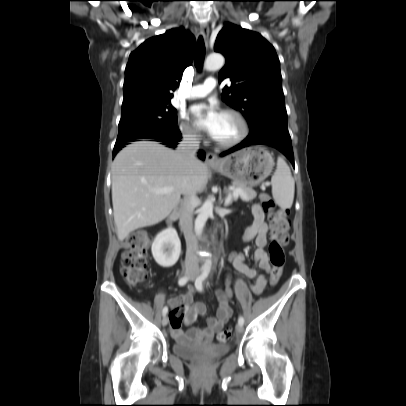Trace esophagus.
Wrapping results in <instances>:
<instances>
[{
    "label": "esophagus",
    "mask_w": 406,
    "mask_h": 406,
    "mask_svg": "<svg viewBox=\"0 0 406 406\" xmlns=\"http://www.w3.org/2000/svg\"><path fill=\"white\" fill-rule=\"evenodd\" d=\"M200 32L205 40V45L208 47L209 27L206 24L201 25ZM206 162L210 165L218 164L220 162L215 153L209 152L206 156Z\"/></svg>",
    "instance_id": "34e87169"
}]
</instances>
